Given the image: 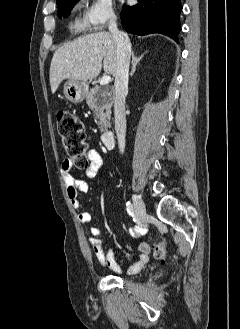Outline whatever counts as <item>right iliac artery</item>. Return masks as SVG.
Wrapping results in <instances>:
<instances>
[{
	"label": "right iliac artery",
	"mask_w": 240,
	"mask_h": 329,
	"mask_svg": "<svg viewBox=\"0 0 240 329\" xmlns=\"http://www.w3.org/2000/svg\"><path fill=\"white\" fill-rule=\"evenodd\" d=\"M126 209H127V212L129 215H133V212H134L133 205L130 202L126 203Z\"/></svg>",
	"instance_id": "right-iliac-artery-1"
}]
</instances>
